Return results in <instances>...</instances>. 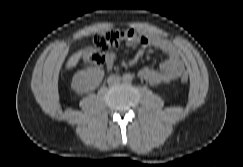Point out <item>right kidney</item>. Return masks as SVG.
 Segmentation results:
<instances>
[{
	"label": "right kidney",
	"instance_id": "ca27d5eb",
	"mask_svg": "<svg viewBox=\"0 0 243 167\" xmlns=\"http://www.w3.org/2000/svg\"><path fill=\"white\" fill-rule=\"evenodd\" d=\"M103 77L104 71L97 67L81 70L74 75L71 87L76 93L83 94L96 89Z\"/></svg>",
	"mask_w": 243,
	"mask_h": 167
}]
</instances>
